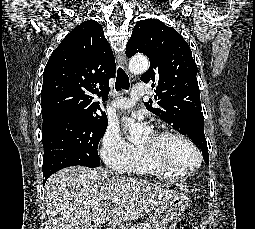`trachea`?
I'll use <instances>...</instances> for the list:
<instances>
[{"label": "trachea", "mask_w": 255, "mask_h": 229, "mask_svg": "<svg viewBox=\"0 0 255 229\" xmlns=\"http://www.w3.org/2000/svg\"><path fill=\"white\" fill-rule=\"evenodd\" d=\"M129 87H130V84H129L128 75L125 73V71L122 68H119L117 70L115 89L116 90H120V89L128 90Z\"/></svg>", "instance_id": "3493384b"}]
</instances>
